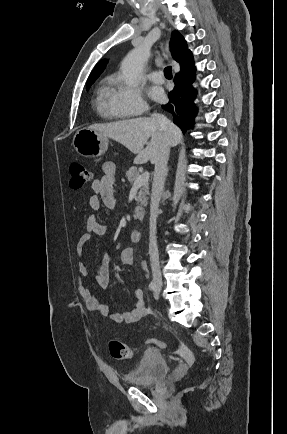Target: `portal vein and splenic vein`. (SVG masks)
Masks as SVG:
<instances>
[{"label":"portal vein and splenic vein","instance_id":"1","mask_svg":"<svg viewBox=\"0 0 287 434\" xmlns=\"http://www.w3.org/2000/svg\"><path fill=\"white\" fill-rule=\"evenodd\" d=\"M149 176H150L149 172H145V173H143L142 175H140V176L135 180V182H134V184H133V187H134V188H139V187H141L142 185H144L145 183H147L148 180H149Z\"/></svg>","mask_w":287,"mask_h":434}]
</instances>
